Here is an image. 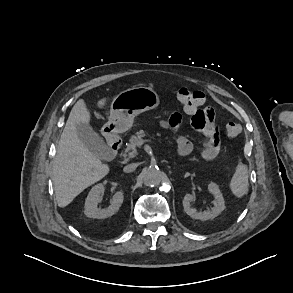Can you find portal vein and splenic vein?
Wrapping results in <instances>:
<instances>
[{"label":"portal vein and splenic vein","instance_id":"obj_1","mask_svg":"<svg viewBox=\"0 0 293 293\" xmlns=\"http://www.w3.org/2000/svg\"><path fill=\"white\" fill-rule=\"evenodd\" d=\"M143 144H144V141L143 140H141V141L138 142V146H142Z\"/></svg>","mask_w":293,"mask_h":293}]
</instances>
